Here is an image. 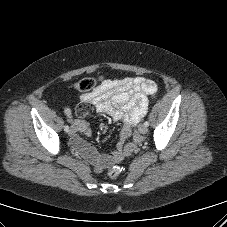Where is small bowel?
Here are the masks:
<instances>
[{
    "label": "small bowel",
    "mask_w": 227,
    "mask_h": 227,
    "mask_svg": "<svg viewBox=\"0 0 227 227\" xmlns=\"http://www.w3.org/2000/svg\"><path fill=\"white\" fill-rule=\"evenodd\" d=\"M156 91V83L145 77H124L103 81L92 92L83 95L84 103L76 108V115L79 118L72 120L75 133L71 137V147L91 162L96 172H101L108 165L129 156L139 142L134 127L147 112L148 97ZM93 109L123 123L118 147L111 154H99L92 145L79 136V134L87 137L92 135L89 123L81 117L88 116Z\"/></svg>",
    "instance_id": "1"
}]
</instances>
